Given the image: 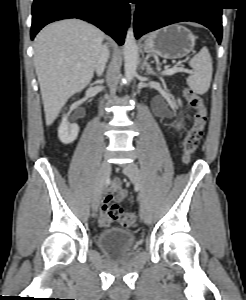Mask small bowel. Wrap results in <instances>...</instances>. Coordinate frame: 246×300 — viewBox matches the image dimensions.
Returning a JSON list of instances; mask_svg holds the SVG:
<instances>
[{
  "label": "small bowel",
  "mask_w": 246,
  "mask_h": 300,
  "mask_svg": "<svg viewBox=\"0 0 246 300\" xmlns=\"http://www.w3.org/2000/svg\"><path fill=\"white\" fill-rule=\"evenodd\" d=\"M126 197L125 191L120 187L119 184H114L111 191L105 196V199L109 201L120 202ZM98 222L102 226H109L112 220L109 219L103 212L98 215Z\"/></svg>",
  "instance_id": "obj_1"
}]
</instances>
